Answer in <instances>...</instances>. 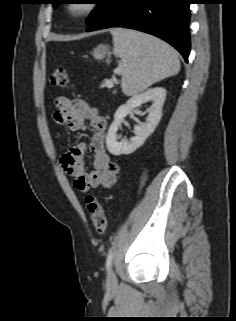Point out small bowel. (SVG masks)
Instances as JSON below:
<instances>
[{
  "instance_id": "small-bowel-1",
  "label": "small bowel",
  "mask_w": 236,
  "mask_h": 321,
  "mask_svg": "<svg viewBox=\"0 0 236 321\" xmlns=\"http://www.w3.org/2000/svg\"><path fill=\"white\" fill-rule=\"evenodd\" d=\"M53 111V120L57 125L67 126L72 131L91 130L89 144L84 142L70 147L60 158L64 171L74 179V187L86 192L95 187H111L120 172L118 164L111 161L105 149L107 121L96 108L82 99L58 97ZM89 149L92 156V170L88 171L85 154Z\"/></svg>"
}]
</instances>
